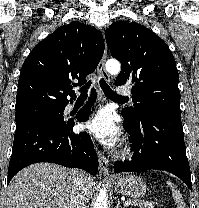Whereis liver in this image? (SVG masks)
Listing matches in <instances>:
<instances>
[{
    "label": "liver",
    "instance_id": "liver-1",
    "mask_svg": "<svg viewBox=\"0 0 199 208\" xmlns=\"http://www.w3.org/2000/svg\"><path fill=\"white\" fill-rule=\"evenodd\" d=\"M74 169L53 163H35L18 172L8 186L6 208H69ZM94 178L85 175L84 194L89 202Z\"/></svg>",
    "mask_w": 199,
    "mask_h": 208
}]
</instances>
